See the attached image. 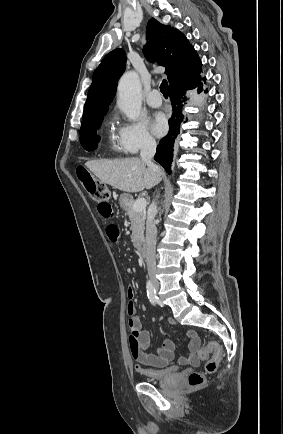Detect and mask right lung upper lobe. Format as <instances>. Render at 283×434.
<instances>
[{"mask_svg": "<svg viewBox=\"0 0 283 434\" xmlns=\"http://www.w3.org/2000/svg\"><path fill=\"white\" fill-rule=\"evenodd\" d=\"M146 36L149 41L144 47V54L149 61L166 68L170 87L192 85L201 79V60L180 31L152 18L147 24ZM125 65L126 54L118 48L106 55L96 68L84 106L82 125L96 122L107 113Z\"/></svg>", "mask_w": 283, "mask_h": 434, "instance_id": "cb5924a9", "label": "right lung upper lobe"}]
</instances>
